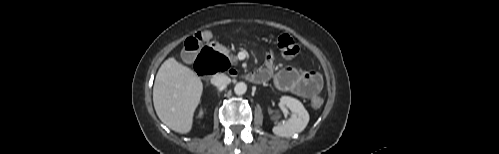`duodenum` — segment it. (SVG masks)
I'll return each mask as SVG.
<instances>
[{"label":"duodenum","instance_id":"duodenum-1","mask_svg":"<svg viewBox=\"0 0 499 154\" xmlns=\"http://www.w3.org/2000/svg\"><path fill=\"white\" fill-rule=\"evenodd\" d=\"M216 57H221V54L212 50L208 53H202L196 61L197 73L202 76L214 73L218 68L214 60ZM245 78L251 83H262L264 81L263 75L258 71L247 73Z\"/></svg>","mask_w":499,"mask_h":154}]
</instances>
